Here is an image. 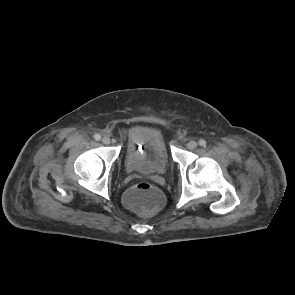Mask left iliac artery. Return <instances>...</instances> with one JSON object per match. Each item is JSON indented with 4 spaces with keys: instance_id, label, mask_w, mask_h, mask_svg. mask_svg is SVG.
<instances>
[{
    "instance_id": "left-iliac-artery-1",
    "label": "left iliac artery",
    "mask_w": 295,
    "mask_h": 295,
    "mask_svg": "<svg viewBox=\"0 0 295 295\" xmlns=\"http://www.w3.org/2000/svg\"><path fill=\"white\" fill-rule=\"evenodd\" d=\"M199 145L203 147L206 146V141L203 139L199 140Z\"/></svg>"
}]
</instances>
